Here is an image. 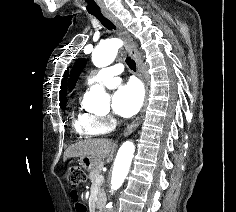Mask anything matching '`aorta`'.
Returning a JSON list of instances; mask_svg holds the SVG:
<instances>
[{
	"instance_id": "1",
	"label": "aorta",
	"mask_w": 236,
	"mask_h": 212,
	"mask_svg": "<svg viewBox=\"0 0 236 212\" xmlns=\"http://www.w3.org/2000/svg\"><path fill=\"white\" fill-rule=\"evenodd\" d=\"M121 41L119 39H108L100 43L92 53V62L96 67H105L110 65L116 58ZM86 106L89 109H96L101 105L109 104L110 98L106 94L104 87L93 85L90 91L85 94ZM135 146L133 142H124L118 150L111 177V190H118L130 169Z\"/></svg>"
}]
</instances>
